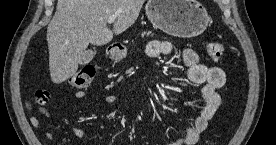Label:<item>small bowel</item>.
Returning <instances> with one entry per match:
<instances>
[{"label": "small bowel", "instance_id": "1", "mask_svg": "<svg viewBox=\"0 0 276 145\" xmlns=\"http://www.w3.org/2000/svg\"><path fill=\"white\" fill-rule=\"evenodd\" d=\"M173 46L168 41H152L147 47V55L150 58H156L160 55L170 54ZM184 61L188 67V78L195 84L203 85L201 91V101L199 105V115L194 124L187 128L183 137L176 140L172 145H195L201 134L206 130L208 124L214 117L221 104L218 90L223 86L226 76L225 72L217 66H206L200 63L198 55L195 51L187 49L183 53ZM85 92L77 91L75 97L83 99ZM117 101V97L113 94L104 96L103 102L111 105ZM30 124L37 128L40 120L36 116L30 118ZM74 139L86 138L87 132L83 128L75 127L71 130ZM46 138L54 142L51 133H46Z\"/></svg>", "mask_w": 276, "mask_h": 145}]
</instances>
